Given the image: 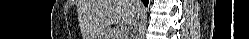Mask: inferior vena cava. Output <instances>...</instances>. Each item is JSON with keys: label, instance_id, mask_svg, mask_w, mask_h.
<instances>
[{"label": "inferior vena cava", "instance_id": "obj_1", "mask_svg": "<svg viewBox=\"0 0 249 39\" xmlns=\"http://www.w3.org/2000/svg\"><path fill=\"white\" fill-rule=\"evenodd\" d=\"M134 1H136V2H140V0H134Z\"/></svg>", "mask_w": 249, "mask_h": 39}]
</instances>
